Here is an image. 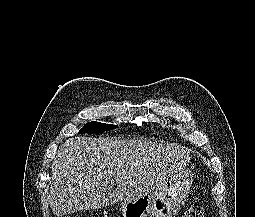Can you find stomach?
<instances>
[{"label": "stomach", "mask_w": 255, "mask_h": 217, "mask_svg": "<svg viewBox=\"0 0 255 217\" xmlns=\"http://www.w3.org/2000/svg\"><path fill=\"white\" fill-rule=\"evenodd\" d=\"M192 181V171L184 168L151 195L122 202V217H175L189 196Z\"/></svg>", "instance_id": "1"}]
</instances>
